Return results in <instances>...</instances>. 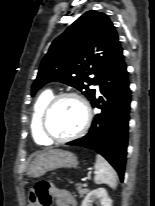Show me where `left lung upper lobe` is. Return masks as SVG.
<instances>
[{
    "instance_id": "1",
    "label": "left lung upper lobe",
    "mask_w": 155,
    "mask_h": 206,
    "mask_svg": "<svg viewBox=\"0 0 155 206\" xmlns=\"http://www.w3.org/2000/svg\"><path fill=\"white\" fill-rule=\"evenodd\" d=\"M121 54L110 19L104 13L88 11L51 44L32 85V96L44 84L58 81L82 91L91 101L95 89L90 86L101 83Z\"/></svg>"
}]
</instances>
